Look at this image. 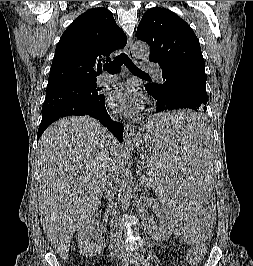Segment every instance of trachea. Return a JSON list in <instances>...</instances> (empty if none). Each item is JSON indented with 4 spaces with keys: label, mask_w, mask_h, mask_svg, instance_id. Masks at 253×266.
Masks as SVG:
<instances>
[{
    "label": "trachea",
    "mask_w": 253,
    "mask_h": 266,
    "mask_svg": "<svg viewBox=\"0 0 253 266\" xmlns=\"http://www.w3.org/2000/svg\"><path fill=\"white\" fill-rule=\"evenodd\" d=\"M125 65L133 74H139V75H148L147 73L143 72L139 68L134 65L132 60L125 54L121 53L117 57L114 58L112 62L109 64L103 66V69L107 71L110 74L117 73L122 65Z\"/></svg>",
    "instance_id": "1"
}]
</instances>
